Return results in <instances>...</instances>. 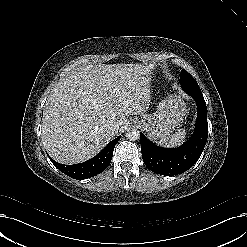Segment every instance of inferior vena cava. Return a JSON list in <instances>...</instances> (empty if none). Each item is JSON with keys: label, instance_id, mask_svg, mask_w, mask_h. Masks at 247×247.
I'll return each mask as SVG.
<instances>
[{"label": "inferior vena cava", "instance_id": "obj_1", "mask_svg": "<svg viewBox=\"0 0 247 247\" xmlns=\"http://www.w3.org/2000/svg\"><path fill=\"white\" fill-rule=\"evenodd\" d=\"M119 129V124L118 123H112L108 126V130L113 132V133H116Z\"/></svg>", "mask_w": 247, "mask_h": 247}]
</instances>
